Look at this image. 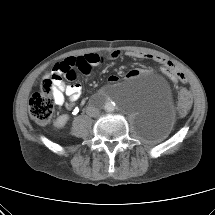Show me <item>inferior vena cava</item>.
<instances>
[{"instance_id":"inferior-vena-cava-1","label":"inferior vena cava","mask_w":215,"mask_h":215,"mask_svg":"<svg viewBox=\"0 0 215 215\" xmlns=\"http://www.w3.org/2000/svg\"><path fill=\"white\" fill-rule=\"evenodd\" d=\"M86 113L87 115L91 116V117H97L99 115V109L95 108L93 106H88L86 108Z\"/></svg>"}]
</instances>
